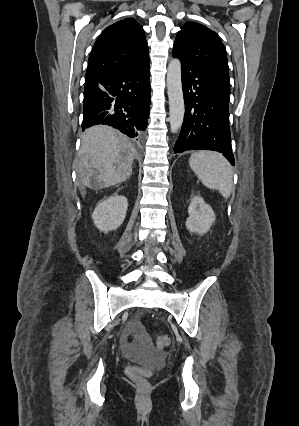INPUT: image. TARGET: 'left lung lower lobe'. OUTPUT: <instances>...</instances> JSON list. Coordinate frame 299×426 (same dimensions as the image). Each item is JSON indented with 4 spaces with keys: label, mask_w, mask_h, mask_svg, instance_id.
<instances>
[{
    "label": "left lung lower lobe",
    "mask_w": 299,
    "mask_h": 426,
    "mask_svg": "<svg viewBox=\"0 0 299 426\" xmlns=\"http://www.w3.org/2000/svg\"><path fill=\"white\" fill-rule=\"evenodd\" d=\"M173 56L181 61L185 100L184 122L174 153L215 150L235 165L229 128L230 92L174 51Z\"/></svg>",
    "instance_id": "0a47b994"
}]
</instances>
